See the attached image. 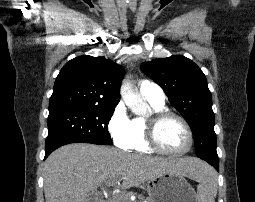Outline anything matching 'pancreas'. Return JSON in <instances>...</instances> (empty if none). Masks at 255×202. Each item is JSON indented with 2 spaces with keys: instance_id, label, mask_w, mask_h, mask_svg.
<instances>
[{
  "instance_id": "1",
  "label": "pancreas",
  "mask_w": 255,
  "mask_h": 202,
  "mask_svg": "<svg viewBox=\"0 0 255 202\" xmlns=\"http://www.w3.org/2000/svg\"><path fill=\"white\" fill-rule=\"evenodd\" d=\"M130 195L131 193L116 195L115 197L112 198L110 202H131ZM145 202H150V201H145Z\"/></svg>"
}]
</instances>
